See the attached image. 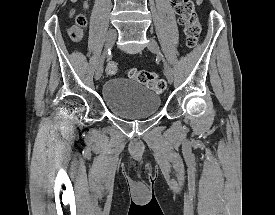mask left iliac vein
I'll use <instances>...</instances> for the list:
<instances>
[{
	"mask_svg": "<svg viewBox=\"0 0 275 215\" xmlns=\"http://www.w3.org/2000/svg\"><path fill=\"white\" fill-rule=\"evenodd\" d=\"M147 46H148V49L153 53L160 52L159 45L154 38H150V41ZM162 62L164 65L165 76H166L168 82L172 83L173 82V71H172L170 65L168 64V62L164 58H162Z\"/></svg>",
	"mask_w": 275,
	"mask_h": 215,
	"instance_id": "1",
	"label": "left iliac vein"
}]
</instances>
